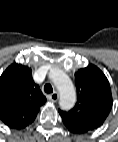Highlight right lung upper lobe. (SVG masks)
<instances>
[{
  "mask_svg": "<svg viewBox=\"0 0 118 142\" xmlns=\"http://www.w3.org/2000/svg\"><path fill=\"white\" fill-rule=\"evenodd\" d=\"M45 102L27 66L13 63L0 76V120L10 128L27 127Z\"/></svg>",
  "mask_w": 118,
  "mask_h": 142,
  "instance_id": "obj_1",
  "label": "right lung upper lobe"
}]
</instances>
